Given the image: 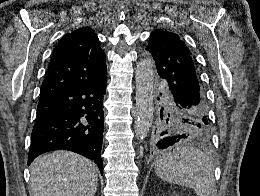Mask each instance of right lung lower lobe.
<instances>
[{
    "label": "right lung lower lobe",
    "mask_w": 260,
    "mask_h": 196,
    "mask_svg": "<svg viewBox=\"0 0 260 196\" xmlns=\"http://www.w3.org/2000/svg\"><path fill=\"white\" fill-rule=\"evenodd\" d=\"M106 77L39 99L28 164L54 150H69L98 165L103 174V98Z\"/></svg>",
    "instance_id": "right-lung-lower-lobe-1"
}]
</instances>
